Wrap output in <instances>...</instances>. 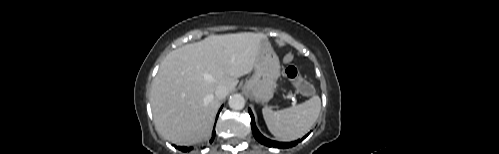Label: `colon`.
<instances>
[{
  "label": "colon",
  "mask_w": 499,
  "mask_h": 154,
  "mask_svg": "<svg viewBox=\"0 0 499 154\" xmlns=\"http://www.w3.org/2000/svg\"><path fill=\"white\" fill-rule=\"evenodd\" d=\"M286 76L294 82L298 90L306 96H309L313 93V86L305 80L294 66H290L286 69Z\"/></svg>",
  "instance_id": "obj_1"
}]
</instances>
